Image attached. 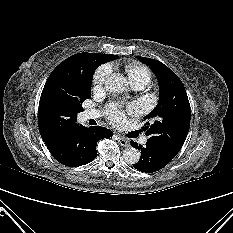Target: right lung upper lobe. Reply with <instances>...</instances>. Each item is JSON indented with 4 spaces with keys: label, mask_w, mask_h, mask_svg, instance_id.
Instances as JSON below:
<instances>
[{
    "label": "right lung upper lobe",
    "mask_w": 233,
    "mask_h": 233,
    "mask_svg": "<svg viewBox=\"0 0 233 233\" xmlns=\"http://www.w3.org/2000/svg\"><path fill=\"white\" fill-rule=\"evenodd\" d=\"M84 53L85 52L75 54L67 58L63 62H61L52 71V73L50 74L48 78V81L54 78H67V79L74 78L82 70V60H83ZM101 55L106 60V62L112 61L118 58L117 55H109V54H101ZM75 125L76 123L59 132H55V133L40 132V134L47 147L55 146L61 143L62 141H64L69 136V134L71 133V130L73 129Z\"/></svg>",
    "instance_id": "obj_1"
}]
</instances>
